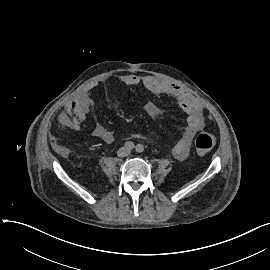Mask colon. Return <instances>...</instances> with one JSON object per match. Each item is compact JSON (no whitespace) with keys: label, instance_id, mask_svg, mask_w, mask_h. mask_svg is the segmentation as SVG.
Here are the masks:
<instances>
[{"label":"colon","instance_id":"colon-1","mask_svg":"<svg viewBox=\"0 0 270 270\" xmlns=\"http://www.w3.org/2000/svg\"><path fill=\"white\" fill-rule=\"evenodd\" d=\"M195 146L200 154H207L215 146V138L211 134H200L195 139Z\"/></svg>","mask_w":270,"mask_h":270}]
</instances>
